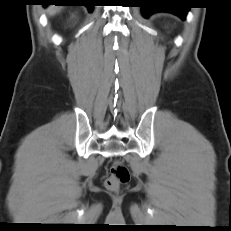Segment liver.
<instances>
[{
	"instance_id": "1",
	"label": "liver",
	"mask_w": 231,
	"mask_h": 231,
	"mask_svg": "<svg viewBox=\"0 0 231 231\" xmlns=\"http://www.w3.org/2000/svg\"><path fill=\"white\" fill-rule=\"evenodd\" d=\"M61 9H62V8L59 7V6L51 5L50 7H48V12H49L51 15H55L56 13L60 12Z\"/></svg>"
}]
</instances>
